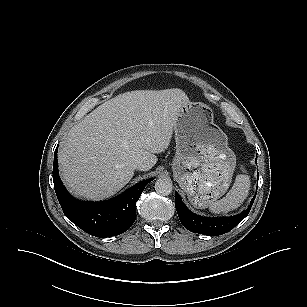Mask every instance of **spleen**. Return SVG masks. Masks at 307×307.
<instances>
[{
    "label": "spleen",
    "mask_w": 307,
    "mask_h": 307,
    "mask_svg": "<svg viewBox=\"0 0 307 307\" xmlns=\"http://www.w3.org/2000/svg\"><path fill=\"white\" fill-rule=\"evenodd\" d=\"M250 185L251 182L248 175H237L231 190L226 194V196L209 204L210 211L219 214L227 213L238 208L247 198Z\"/></svg>",
    "instance_id": "1"
}]
</instances>
